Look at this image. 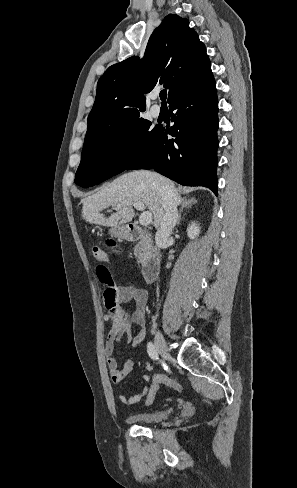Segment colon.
<instances>
[{
	"mask_svg": "<svg viewBox=\"0 0 297 488\" xmlns=\"http://www.w3.org/2000/svg\"><path fill=\"white\" fill-rule=\"evenodd\" d=\"M93 255L98 261L102 262L97 266V275L99 277V280L105 285V305L112 313L113 323L115 327H120L121 312L118 309L117 285L115 284L109 269L103 264L104 261L102 260L105 256H108V254L104 250L98 247H94ZM152 381L153 382H151L150 384L151 388L146 392L145 404L147 406L155 401V397L158 395L159 391L158 387H160L162 383L166 384L168 387L178 392H181L183 390L180 384L171 380V376L167 375V372L165 370H160L158 374H154L152 376Z\"/></svg>",
	"mask_w": 297,
	"mask_h": 488,
	"instance_id": "5ec220e1",
	"label": "colon"
}]
</instances>
